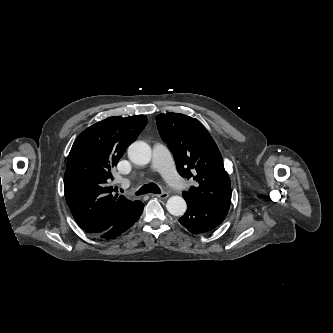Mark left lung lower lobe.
<instances>
[{"mask_svg": "<svg viewBox=\"0 0 333 333\" xmlns=\"http://www.w3.org/2000/svg\"><path fill=\"white\" fill-rule=\"evenodd\" d=\"M183 198L187 203L188 209L179 219V222L192 234L213 230L224 221L228 213V211L203 206L190 197Z\"/></svg>", "mask_w": 333, "mask_h": 333, "instance_id": "obj_1", "label": "left lung lower lobe"}]
</instances>
